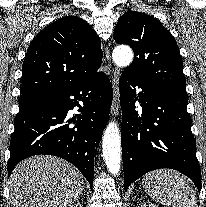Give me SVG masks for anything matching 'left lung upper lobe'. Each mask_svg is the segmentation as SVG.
Returning a JSON list of instances; mask_svg holds the SVG:
<instances>
[{
  "instance_id": "1",
  "label": "left lung upper lobe",
  "mask_w": 206,
  "mask_h": 207,
  "mask_svg": "<svg viewBox=\"0 0 206 207\" xmlns=\"http://www.w3.org/2000/svg\"><path fill=\"white\" fill-rule=\"evenodd\" d=\"M114 39L134 51L133 62L122 74L143 83L186 94V81L178 45L155 18L127 12L119 19Z\"/></svg>"
}]
</instances>
